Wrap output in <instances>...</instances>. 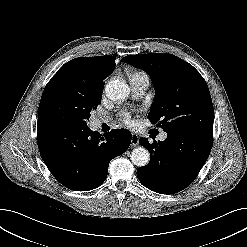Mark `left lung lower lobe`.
Listing matches in <instances>:
<instances>
[{"instance_id": "1", "label": "left lung lower lobe", "mask_w": 247, "mask_h": 247, "mask_svg": "<svg viewBox=\"0 0 247 247\" xmlns=\"http://www.w3.org/2000/svg\"><path fill=\"white\" fill-rule=\"evenodd\" d=\"M167 134L165 141L139 140L151 158L148 165L137 170L138 179L142 185L160 194H173L188 187L208 159L213 145V136L207 134Z\"/></svg>"}]
</instances>
